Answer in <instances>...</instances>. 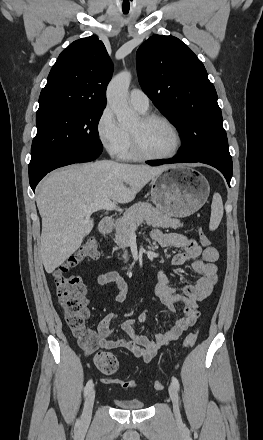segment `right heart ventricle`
<instances>
[{
    "instance_id": "right-heart-ventricle-1",
    "label": "right heart ventricle",
    "mask_w": 263,
    "mask_h": 440,
    "mask_svg": "<svg viewBox=\"0 0 263 440\" xmlns=\"http://www.w3.org/2000/svg\"><path fill=\"white\" fill-rule=\"evenodd\" d=\"M119 155L124 159L135 158V155L133 154L132 149H131V142H130L129 135H128V140H127L125 146L123 147V149L121 150V152L119 153Z\"/></svg>"
}]
</instances>
